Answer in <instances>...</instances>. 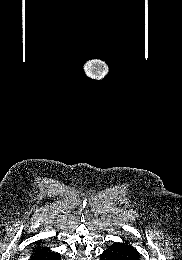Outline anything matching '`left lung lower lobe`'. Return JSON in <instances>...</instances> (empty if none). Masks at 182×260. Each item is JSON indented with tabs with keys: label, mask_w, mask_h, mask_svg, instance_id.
<instances>
[{
	"label": "left lung lower lobe",
	"mask_w": 182,
	"mask_h": 260,
	"mask_svg": "<svg viewBox=\"0 0 182 260\" xmlns=\"http://www.w3.org/2000/svg\"><path fill=\"white\" fill-rule=\"evenodd\" d=\"M139 252L128 244L114 243L100 255L101 260H139Z\"/></svg>",
	"instance_id": "obj_1"
}]
</instances>
